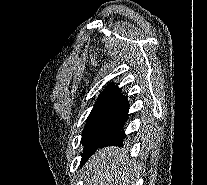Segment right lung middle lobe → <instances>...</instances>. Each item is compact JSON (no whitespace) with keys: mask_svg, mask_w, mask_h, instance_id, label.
Here are the masks:
<instances>
[{"mask_svg":"<svg viewBox=\"0 0 207 185\" xmlns=\"http://www.w3.org/2000/svg\"><path fill=\"white\" fill-rule=\"evenodd\" d=\"M124 114L125 112L121 111H91L82 132L81 142L84 150L81 165L97 150L99 141L121 120Z\"/></svg>","mask_w":207,"mask_h":185,"instance_id":"dd1d6c3e","label":"right lung middle lobe"}]
</instances>
